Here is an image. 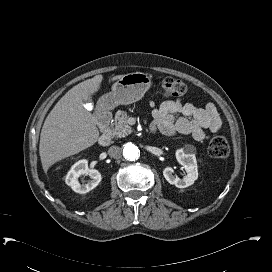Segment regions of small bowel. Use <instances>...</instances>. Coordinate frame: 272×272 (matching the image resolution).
<instances>
[{"label":"small bowel","mask_w":272,"mask_h":272,"mask_svg":"<svg viewBox=\"0 0 272 272\" xmlns=\"http://www.w3.org/2000/svg\"><path fill=\"white\" fill-rule=\"evenodd\" d=\"M153 109L154 122L161 133L172 136L176 133L191 134L197 141L205 139V129L217 133L221 120L216 106L207 103L205 107L195 106L189 102L165 101L159 108L149 103ZM179 116V118H176Z\"/></svg>","instance_id":"obj_1"}]
</instances>
